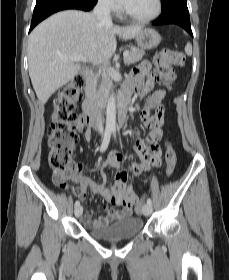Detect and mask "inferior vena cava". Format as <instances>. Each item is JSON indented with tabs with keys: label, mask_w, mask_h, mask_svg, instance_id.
Listing matches in <instances>:
<instances>
[{
	"label": "inferior vena cava",
	"mask_w": 229,
	"mask_h": 280,
	"mask_svg": "<svg viewBox=\"0 0 229 280\" xmlns=\"http://www.w3.org/2000/svg\"><path fill=\"white\" fill-rule=\"evenodd\" d=\"M94 17L105 24H112V19L110 15V3L108 0H98L97 5L93 11ZM98 131L103 132V126L100 119H98Z\"/></svg>",
	"instance_id": "1"
}]
</instances>
